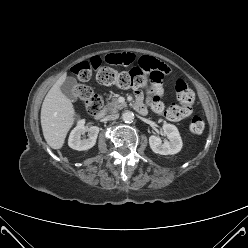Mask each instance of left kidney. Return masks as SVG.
<instances>
[{"instance_id": "1", "label": "left kidney", "mask_w": 248, "mask_h": 248, "mask_svg": "<svg viewBox=\"0 0 248 248\" xmlns=\"http://www.w3.org/2000/svg\"><path fill=\"white\" fill-rule=\"evenodd\" d=\"M163 132L169 141L162 143L161 139L155 135L149 137V145L154 153L160 155H173L182 149V139L175 125L164 124Z\"/></svg>"}]
</instances>
